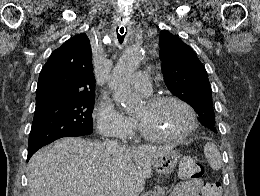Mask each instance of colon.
Here are the masks:
<instances>
[{
	"instance_id": "5ec220e1",
	"label": "colon",
	"mask_w": 260,
	"mask_h": 196,
	"mask_svg": "<svg viewBox=\"0 0 260 196\" xmlns=\"http://www.w3.org/2000/svg\"><path fill=\"white\" fill-rule=\"evenodd\" d=\"M179 179L185 183L201 182L204 178L203 166L191 159H182L179 163Z\"/></svg>"
}]
</instances>
